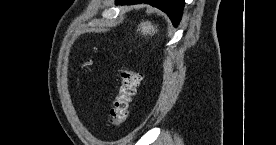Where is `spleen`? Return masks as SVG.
<instances>
[{"instance_id": "obj_1", "label": "spleen", "mask_w": 276, "mask_h": 145, "mask_svg": "<svg viewBox=\"0 0 276 145\" xmlns=\"http://www.w3.org/2000/svg\"><path fill=\"white\" fill-rule=\"evenodd\" d=\"M137 31H141L142 35H151V36H153L157 32V29H156V27H154L152 25L151 22H149V21L144 22L143 21L138 26Z\"/></svg>"}]
</instances>
